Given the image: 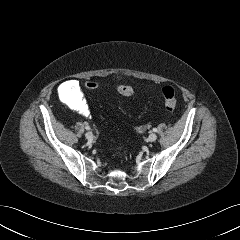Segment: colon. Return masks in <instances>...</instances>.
<instances>
[{
	"instance_id": "1",
	"label": "colon",
	"mask_w": 240,
	"mask_h": 240,
	"mask_svg": "<svg viewBox=\"0 0 240 240\" xmlns=\"http://www.w3.org/2000/svg\"><path fill=\"white\" fill-rule=\"evenodd\" d=\"M85 87L90 91H95L98 88V83L94 80H89L85 83ZM119 94L123 96H131L133 94V88L128 85H119L117 87ZM165 108L168 111H173L177 106V100L173 88L166 86L162 90Z\"/></svg>"
}]
</instances>
